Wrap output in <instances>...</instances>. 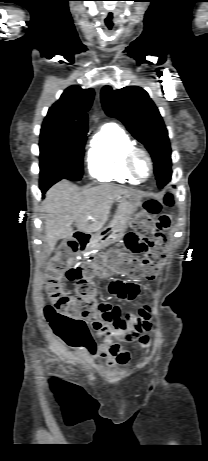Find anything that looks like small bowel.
<instances>
[{
	"mask_svg": "<svg viewBox=\"0 0 208 461\" xmlns=\"http://www.w3.org/2000/svg\"><path fill=\"white\" fill-rule=\"evenodd\" d=\"M101 276H105V273ZM142 288L135 281L112 280L107 291L121 300L132 301L137 298ZM151 308L144 306L138 314L122 315L121 309L109 303H102L96 307L93 317L86 320L88 327L95 331L102 339V343L96 344L92 339L89 345L82 349L92 358H105L109 365H125L130 354L122 348L114 339L132 342L139 338L144 326L149 325Z\"/></svg>",
	"mask_w": 208,
	"mask_h": 461,
	"instance_id": "small-bowel-1",
	"label": "small bowel"
}]
</instances>
